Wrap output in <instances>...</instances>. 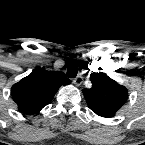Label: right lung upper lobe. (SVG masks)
I'll list each match as a JSON object with an SVG mask.
<instances>
[{"label": "right lung upper lobe", "instance_id": "cb5924a9", "mask_svg": "<svg viewBox=\"0 0 145 145\" xmlns=\"http://www.w3.org/2000/svg\"><path fill=\"white\" fill-rule=\"evenodd\" d=\"M70 83L63 72L39 68L14 84L11 94L21 113L33 115L52 101L62 85Z\"/></svg>", "mask_w": 145, "mask_h": 145}]
</instances>
